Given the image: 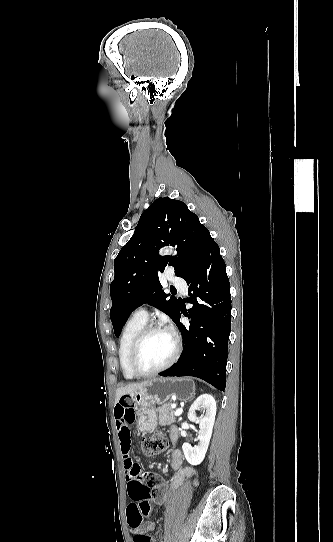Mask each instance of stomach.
<instances>
[{"instance_id":"0dacf381","label":"stomach","mask_w":333,"mask_h":542,"mask_svg":"<svg viewBox=\"0 0 333 542\" xmlns=\"http://www.w3.org/2000/svg\"><path fill=\"white\" fill-rule=\"evenodd\" d=\"M172 396L186 402L195 396V384L190 378H153L143 390H137L129 397L119 400H132L137 410V436L145 438L158 424L154 404H165Z\"/></svg>"}]
</instances>
